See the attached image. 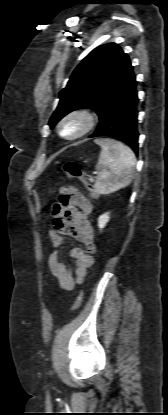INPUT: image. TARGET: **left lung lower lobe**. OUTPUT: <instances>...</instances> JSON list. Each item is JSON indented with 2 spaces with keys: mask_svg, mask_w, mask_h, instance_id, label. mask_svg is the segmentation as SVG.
I'll use <instances>...</instances> for the list:
<instances>
[{
  "mask_svg": "<svg viewBox=\"0 0 168 415\" xmlns=\"http://www.w3.org/2000/svg\"><path fill=\"white\" fill-rule=\"evenodd\" d=\"M135 75L107 104L101 113L96 131L89 137L117 138L138 153V96Z\"/></svg>",
  "mask_w": 168,
  "mask_h": 415,
  "instance_id": "obj_1",
  "label": "left lung lower lobe"
}]
</instances>
